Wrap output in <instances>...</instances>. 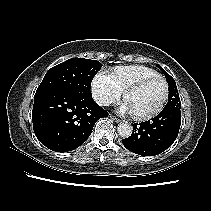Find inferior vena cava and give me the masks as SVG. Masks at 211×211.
<instances>
[{
  "label": "inferior vena cava",
  "mask_w": 211,
  "mask_h": 211,
  "mask_svg": "<svg viewBox=\"0 0 211 211\" xmlns=\"http://www.w3.org/2000/svg\"><path fill=\"white\" fill-rule=\"evenodd\" d=\"M97 102L100 105L109 106L112 103V99H110V98H100L99 100H97Z\"/></svg>",
  "instance_id": "obj_1"
}]
</instances>
